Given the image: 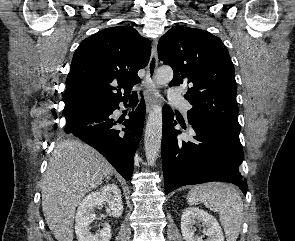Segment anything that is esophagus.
<instances>
[{"label": "esophagus", "instance_id": "obj_1", "mask_svg": "<svg viewBox=\"0 0 295 241\" xmlns=\"http://www.w3.org/2000/svg\"><path fill=\"white\" fill-rule=\"evenodd\" d=\"M158 67V53H157V40L153 41L150 60L147 66V73L145 77V101L147 112H149L156 102V72Z\"/></svg>", "mask_w": 295, "mask_h": 241}]
</instances>
